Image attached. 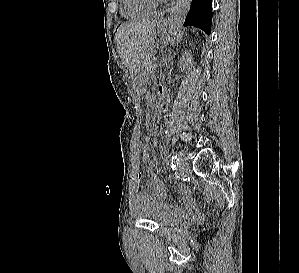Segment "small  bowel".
Here are the masks:
<instances>
[{
    "label": "small bowel",
    "mask_w": 299,
    "mask_h": 273,
    "mask_svg": "<svg viewBox=\"0 0 299 273\" xmlns=\"http://www.w3.org/2000/svg\"><path fill=\"white\" fill-rule=\"evenodd\" d=\"M142 161L147 166L148 172L151 176V187L154 191V196H151L143 188H140L135 197V210L141 211L144 208H153L160 215L176 220H187L193 217L192 211L188 205L181 207L166 203L167 189L163 180L159 177L157 171L159 165L151 159L149 147L142 150ZM178 192L187 199L189 197L188 189L180 185Z\"/></svg>",
    "instance_id": "obj_1"
}]
</instances>
